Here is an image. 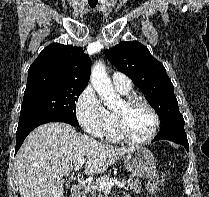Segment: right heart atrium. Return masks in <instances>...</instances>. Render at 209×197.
<instances>
[{"mask_svg":"<svg viewBox=\"0 0 209 197\" xmlns=\"http://www.w3.org/2000/svg\"><path fill=\"white\" fill-rule=\"evenodd\" d=\"M76 116L82 128L94 137H102L109 124V111L104 107L91 86L78 96Z\"/></svg>","mask_w":209,"mask_h":197,"instance_id":"d8ad5b80","label":"right heart atrium"}]
</instances>
